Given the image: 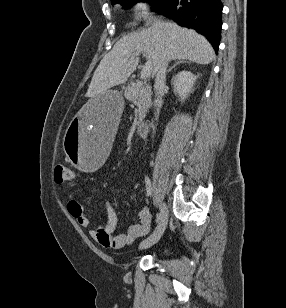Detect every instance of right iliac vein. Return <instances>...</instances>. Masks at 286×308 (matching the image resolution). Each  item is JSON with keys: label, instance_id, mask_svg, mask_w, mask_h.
<instances>
[{"label": "right iliac vein", "instance_id": "1", "mask_svg": "<svg viewBox=\"0 0 286 308\" xmlns=\"http://www.w3.org/2000/svg\"><path fill=\"white\" fill-rule=\"evenodd\" d=\"M161 220L156 231L147 239L142 241L139 249H146L156 244L162 237L168 223V209L164 203H160Z\"/></svg>", "mask_w": 286, "mask_h": 308}]
</instances>
